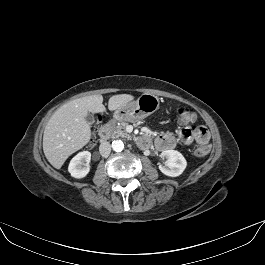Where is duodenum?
Returning a JSON list of instances; mask_svg holds the SVG:
<instances>
[{
	"label": "duodenum",
	"mask_w": 265,
	"mask_h": 265,
	"mask_svg": "<svg viewBox=\"0 0 265 265\" xmlns=\"http://www.w3.org/2000/svg\"><path fill=\"white\" fill-rule=\"evenodd\" d=\"M116 120L117 118L113 117L100 128L99 135L102 140H106L111 135ZM138 144L142 147H148L150 144L149 137L147 135H141L138 138Z\"/></svg>",
	"instance_id": "410a0bca"
}]
</instances>
